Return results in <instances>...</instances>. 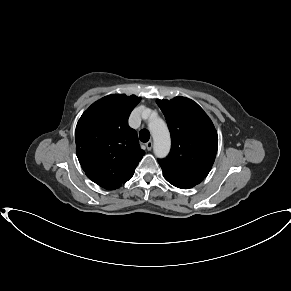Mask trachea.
I'll return each instance as SVG.
<instances>
[{"label":"trachea","instance_id":"obj_1","mask_svg":"<svg viewBox=\"0 0 291 291\" xmlns=\"http://www.w3.org/2000/svg\"><path fill=\"white\" fill-rule=\"evenodd\" d=\"M139 138L142 142H148L150 139V133L147 130H141L139 133Z\"/></svg>","mask_w":291,"mask_h":291}]
</instances>
